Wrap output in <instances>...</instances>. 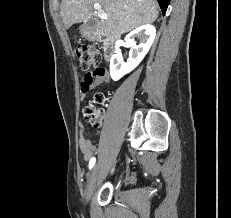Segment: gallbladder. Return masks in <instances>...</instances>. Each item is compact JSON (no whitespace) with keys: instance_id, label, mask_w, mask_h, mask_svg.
Returning a JSON list of instances; mask_svg holds the SVG:
<instances>
[{"instance_id":"obj_1","label":"gallbladder","mask_w":231,"mask_h":218,"mask_svg":"<svg viewBox=\"0 0 231 218\" xmlns=\"http://www.w3.org/2000/svg\"><path fill=\"white\" fill-rule=\"evenodd\" d=\"M94 25H95V22H94L93 18H89L84 23V27H87V28L93 27Z\"/></svg>"}]
</instances>
